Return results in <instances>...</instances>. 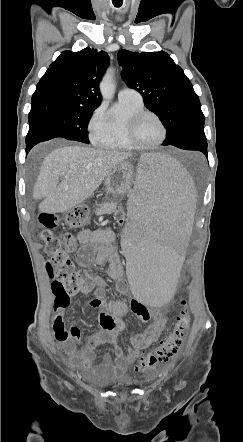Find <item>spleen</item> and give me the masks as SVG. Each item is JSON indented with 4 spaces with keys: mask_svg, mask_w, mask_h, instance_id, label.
Instances as JSON below:
<instances>
[{
    "mask_svg": "<svg viewBox=\"0 0 243 442\" xmlns=\"http://www.w3.org/2000/svg\"><path fill=\"white\" fill-rule=\"evenodd\" d=\"M194 186L173 158L144 154L130 185L128 222L123 228L125 280L141 307H163L178 289L180 266L187 258L195 226Z\"/></svg>",
    "mask_w": 243,
    "mask_h": 442,
    "instance_id": "obj_1",
    "label": "spleen"
}]
</instances>
